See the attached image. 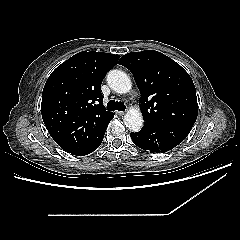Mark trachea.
Masks as SVG:
<instances>
[{"instance_id": "trachea-1", "label": "trachea", "mask_w": 240, "mask_h": 240, "mask_svg": "<svg viewBox=\"0 0 240 240\" xmlns=\"http://www.w3.org/2000/svg\"><path fill=\"white\" fill-rule=\"evenodd\" d=\"M125 105L123 102H118V101H115V100H110L108 103H107V110L109 111H114V110H118V111H125Z\"/></svg>"}]
</instances>
